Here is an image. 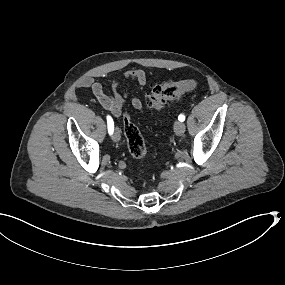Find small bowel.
Wrapping results in <instances>:
<instances>
[{"label": "small bowel", "mask_w": 285, "mask_h": 285, "mask_svg": "<svg viewBox=\"0 0 285 285\" xmlns=\"http://www.w3.org/2000/svg\"><path fill=\"white\" fill-rule=\"evenodd\" d=\"M126 77L128 80L136 82L140 88H144L148 84V78L145 72L141 69H133L128 71L126 73ZM78 87L89 89L96 97L100 105L114 117H120L122 115L125 99L119 92L118 81H112L111 94L105 93L102 83L91 77H84L80 79L78 82ZM132 106L139 110L143 107V103L138 97H134L132 99Z\"/></svg>", "instance_id": "1"}]
</instances>
